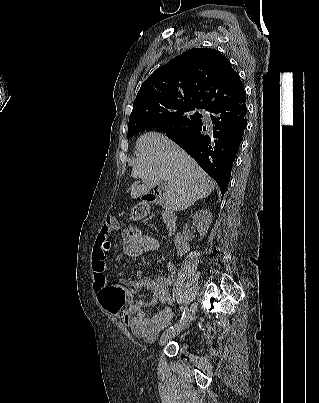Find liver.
<instances>
[{"label": "liver", "instance_id": "liver-1", "mask_svg": "<svg viewBox=\"0 0 319 403\" xmlns=\"http://www.w3.org/2000/svg\"><path fill=\"white\" fill-rule=\"evenodd\" d=\"M136 156L131 177L141 179L142 184L132 186L130 195L134 199L164 181L165 203L172 210L181 211L214 190L213 181L196 161L161 133L147 132L140 136Z\"/></svg>", "mask_w": 319, "mask_h": 403}]
</instances>
